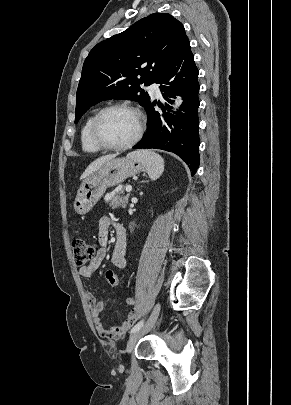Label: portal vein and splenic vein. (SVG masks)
I'll list each match as a JSON object with an SVG mask.
<instances>
[{
  "label": "portal vein and splenic vein",
  "instance_id": "18ae733b",
  "mask_svg": "<svg viewBox=\"0 0 291 405\" xmlns=\"http://www.w3.org/2000/svg\"><path fill=\"white\" fill-rule=\"evenodd\" d=\"M126 192L130 193L132 191V186L131 185H127L125 188Z\"/></svg>",
  "mask_w": 291,
  "mask_h": 405
}]
</instances>
